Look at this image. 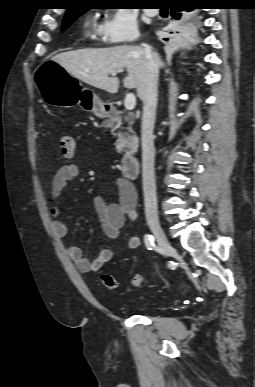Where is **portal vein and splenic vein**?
<instances>
[{
    "mask_svg": "<svg viewBox=\"0 0 255 387\" xmlns=\"http://www.w3.org/2000/svg\"><path fill=\"white\" fill-rule=\"evenodd\" d=\"M112 76L116 75V73H112ZM136 105V97L133 93H128L124 100L125 109L131 111L135 108Z\"/></svg>",
    "mask_w": 255,
    "mask_h": 387,
    "instance_id": "18ae733b",
    "label": "portal vein and splenic vein"
}]
</instances>
